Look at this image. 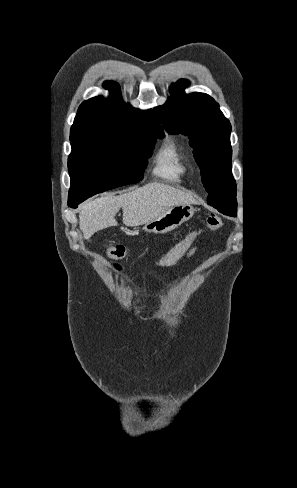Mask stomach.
Returning <instances> with one entry per match:
<instances>
[{"mask_svg": "<svg viewBox=\"0 0 297 488\" xmlns=\"http://www.w3.org/2000/svg\"><path fill=\"white\" fill-rule=\"evenodd\" d=\"M195 209L190 204L172 206L165 212L145 224L144 230L149 233L164 234L178 228L190 220Z\"/></svg>", "mask_w": 297, "mask_h": 488, "instance_id": "obj_1", "label": "stomach"}]
</instances>
